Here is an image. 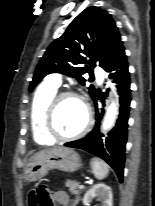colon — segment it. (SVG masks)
<instances>
[{
  "label": "colon",
  "instance_id": "obj_1",
  "mask_svg": "<svg viewBox=\"0 0 155 206\" xmlns=\"http://www.w3.org/2000/svg\"><path fill=\"white\" fill-rule=\"evenodd\" d=\"M30 206H48L50 203L48 190L45 186H40L32 190L28 195Z\"/></svg>",
  "mask_w": 155,
  "mask_h": 206
}]
</instances>
